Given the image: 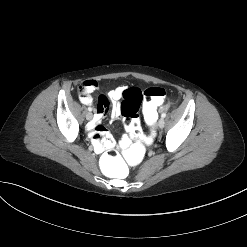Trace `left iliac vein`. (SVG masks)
<instances>
[{
  "instance_id": "obj_1",
  "label": "left iliac vein",
  "mask_w": 247,
  "mask_h": 247,
  "mask_svg": "<svg viewBox=\"0 0 247 247\" xmlns=\"http://www.w3.org/2000/svg\"><path fill=\"white\" fill-rule=\"evenodd\" d=\"M164 125H165L164 119H163V118L159 119V121H158V123H157V126H158L159 128H163Z\"/></svg>"
}]
</instances>
